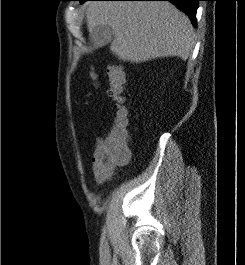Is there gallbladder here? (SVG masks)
<instances>
[{
  "instance_id": "1",
  "label": "gallbladder",
  "mask_w": 245,
  "mask_h": 265,
  "mask_svg": "<svg viewBox=\"0 0 245 265\" xmlns=\"http://www.w3.org/2000/svg\"><path fill=\"white\" fill-rule=\"evenodd\" d=\"M89 37L93 47L100 48L112 41L114 31L108 25H97L90 31Z\"/></svg>"
}]
</instances>
